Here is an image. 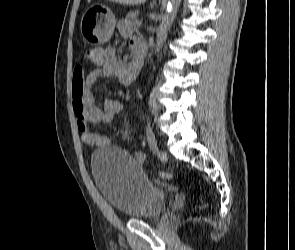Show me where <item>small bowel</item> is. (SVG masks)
Wrapping results in <instances>:
<instances>
[{
	"label": "small bowel",
	"instance_id": "1",
	"mask_svg": "<svg viewBox=\"0 0 295 250\" xmlns=\"http://www.w3.org/2000/svg\"><path fill=\"white\" fill-rule=\"evenodd\" d=\"M118 30L124 37L131 38L130 44L134 50L142 46L138 38L132 37L131 28L126 21L118 23ZM90 62L94 65V69L88 75L85 76L81 66H77L74 70L73 110L83 144L87 147H103L111 144V138L96 134L90 125L110 123L114 116L121 112L122 104L114 99H106L102 107H96L94 85L98 79L111 76L117 77L123 84H131L137 78L140 68L137 67L135 60L130 62L119 60L114 47L93 49ZM136 157L142 159L141 155Z\"/></svg>",
	"mask_w": 295,
	"mask_h": 250
}]
</instances>
